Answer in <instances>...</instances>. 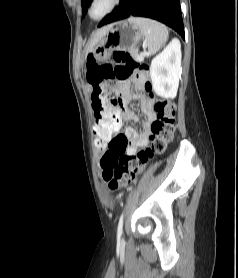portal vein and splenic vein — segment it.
I'll use <instances>...</instances> for the list:
<instances>
[{
    "label": "portal vein and splenic vein",
    "mask_w": 238,
    "mask_h": 278,
    "mask_svg": "<svg viewBox=\"0 0 238 278\" xmlns=\"http://www.w3.org/2000/svg\"><path fill=\"white\" fill-rule=\"evenodd\" d=\"M137 59L142 61L144 59V53H141V55Z\"/></svg>",
    "instance_id": "obj_1"
}]
</instances>
